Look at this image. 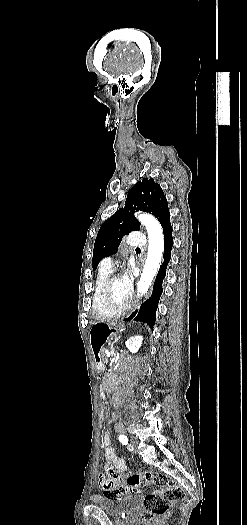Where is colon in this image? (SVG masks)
<instances>
[{"label": "colon", "instance_id": "obj_1", "mask_svg": "<svg viewBox=\"0 0 247 525\" xmlns=\"http://www.w3.org/2000/svg\"><path fill=\"white\" fill-rule=\"evenodd\" d=\"M107 425L105 418L98 420V427L103 429ZM104 472L108 475L107 481H122V495L141 486L153 487L144 497L145 510L142 513L144 520H163L166 518L171 503L184 500L185 490L164 473L150 471L128 473L124 479L110 466L105 465Z\"/></svg>", "mask_w": 247, "mask_h": 525}]
</instances>
